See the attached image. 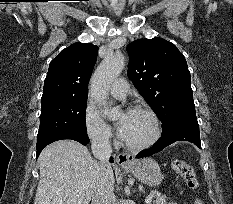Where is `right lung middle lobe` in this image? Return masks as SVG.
Masks as SVG:
<instances>
[{
	"label": "right lung middle lobe",
	"instance_id": "dd1d6c3e",
	"mask_svg": "<svg viewBox=\"0 0 233 204\" xmlns=\"http://www.w3.org/2000/svg\"><path fill=\"white\" fill-rule=\"evenodd\" d=\"M86 106L87 98L41 102L37 147L48 145L64 136H87Z\"/></svg>",
	"mask_w": 233,
	"mask_h": 204
}]
</instances>
